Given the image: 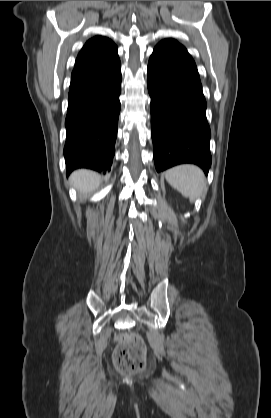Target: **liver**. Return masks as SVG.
<instances>
[{
    "label": "liver",
    "instance_id": "1",
    "mask_svg": "<svg viewBox=\"0 0 271 418\" xmlns=\"http://www.w3.org/2000/svg\"><path fill=\"white\" fill-rule=\"evenodd\" d=\"M70 181L79 192L88 193L99 187L101 177L91 170L80 169L72 173Z\"/></svg>",
    "mask_w": 271,
    "mask_h": 418
}]
</instances>
